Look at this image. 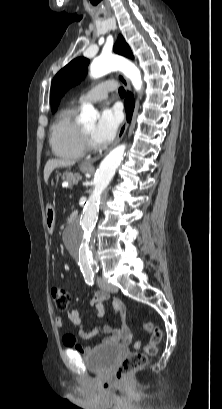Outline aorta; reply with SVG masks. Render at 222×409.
Masks as SVG:
<instances>
[{"instance_id": "762f6f07", "label": "aorta", "mask_w": 222, "mask_h": 409, "mask_svg": "<svg viewBox=\"0 0 222 409\" xmlns=\"http://www.w3.org/2000/svg\"><path fill=\"white\" fill-rule=\"evenodd\" d=\"M111 71L123 72L131 80L134 88L137 91L141 90L142 79L139 69L122 57L115 55L100 56L90 66V73L93 78L102 77ZM96 114L92 105H84L81 118L85 123H93ZM124 153L125 145H119L101 161L95 176L93 191L83 209L82 217L68 230L69 250L78 257L79 264L84 269L91 268L94 265V227L97 221L101 195L120 166Z\"/></svg>"}]
</instances>
